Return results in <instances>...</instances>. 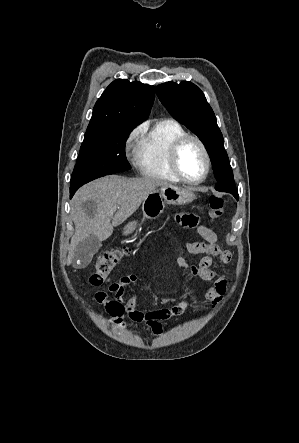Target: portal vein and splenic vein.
<instances>
[{
    "label": "portal vein and splenic vein",
    "mask_w": 299,
    "mask_h": 443,
    "mask_svg": "<svg viewBox=\"0 0 299 443\" xmlns=\"http://www.w3.org/2000/svg\"><path fill=\"white\" fill-rule=\"evenodd\" d=\"M115 211H116V209H112V210L110 211V213L113 214Z\"/></svg>",
    "instance_id": "18ae733b"
}]
</instances>
